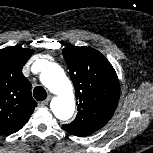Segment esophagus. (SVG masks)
<instances>
[{
  "label": "esophagus",
  "instance_id": "obj_1",
  "mask_svg": "<svg viewBox=\"0 0 153 153\" xmlns=\"http://www.w3.org/2000/svg\"><path fill=\"white\" fill-rule=\"evenodd\" d=\"M52 96L49 95L44 101L41 102V105H47L49 101L51 100Z\"/></svg>",
  "mask_w": 153,
  "mask_h": 153
}]
</instances>
